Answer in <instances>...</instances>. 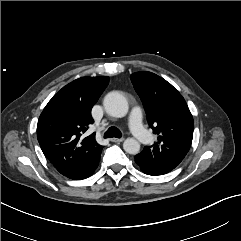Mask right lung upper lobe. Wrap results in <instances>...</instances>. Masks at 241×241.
I'll use <instances>...</instances> for the list:
<instances>
[{
  "label": "right lung upper lobe",
  "instance_id": "obj_1",
  "mask_svg": "<svg viewBox=\"0 0 241 241\" xmlns=\"http://www.w3.org/2000/svg\"><path fill=\"white\" fill-rule=\"evenodd\" d=\"M109 83L107 76L82 77L58 91L41 113L37 138L44 155L64 176L92 163L103 146L95 134L83 138L93 123L91 109Z\"/></svg>",
  "mask_w": 241,
  "mask_h": 241
}]
</instances>
